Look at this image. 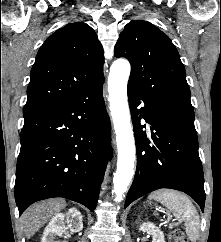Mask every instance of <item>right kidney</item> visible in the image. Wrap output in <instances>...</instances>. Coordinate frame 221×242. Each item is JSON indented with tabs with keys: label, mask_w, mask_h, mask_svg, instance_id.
<instances>
[{
	"label": "right kidney",
	"mask_w": 221,
	"mask_h": 242,
	"mask_svg": "<svg viewBox=\"0 0 221 242\" xmlns=\"http://www.w3.org/2000/svg\"><path fill=\"white\" fill-rule=\"evenodd\" d=\"M83 217L76 208H70L66 213H57L46 226L41 242L54 241L56 236H61L66 230L80 232L83 229ZM65 223L67 226L65 227Z\"/></svg>",
	"instance_id": "1"
}]
</instances>
